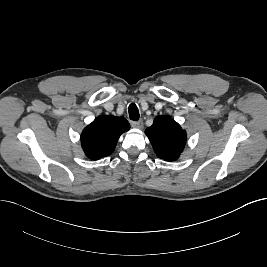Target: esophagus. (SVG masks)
Segmentation results:
<instances>
[{
  "label": "esophagus",
  "instance_id": "1",
  "mask_svg": "<svg viewBox=\"0 0 267 267\" xmlns=\"http://www.w3.org/2000/svg\"><path fill=\"white\" fill-rule=\"evenodd\" d=\"M131 126L136 129H142L143 128V122L142 121H132Z\"/></svg>",
  "mask_w": 267,
  "mask_h": 267
}]
</instances>
